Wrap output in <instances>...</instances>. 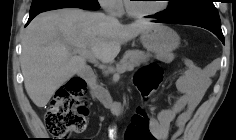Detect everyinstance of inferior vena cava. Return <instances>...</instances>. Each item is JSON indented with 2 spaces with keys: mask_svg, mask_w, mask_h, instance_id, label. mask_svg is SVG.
<instances>
[{
  "mask_svg": "<svg viewBox=\"0 0 236 140\" xmlns=\"http://www.w3.org/2000/svg\"><path fill=\"white\" fill-rule=\"evenodd\" d=\"M109 17L111 18V19H115V17H114V15H109Z\"/></svg>",
  "mask_w": 236,
  "mask_h": 140,
  "instance_id": "inferior-vena-cava-1",
  "label": "inferior vena cava"
}]
</instances>
